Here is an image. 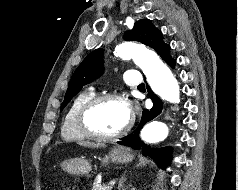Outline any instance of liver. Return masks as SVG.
Returning a JSON list of instances; mask_svg holds the SVG:
<instances>
[{
  "label": "liver",
  "mask_w": 238,
  "mask_h": 190,
  "mask_svg": "<svg viewBox=\"0 0 238 190\" xmlns=\"http://www.w3.org/2000/svg\"><path fill=\"white\" fill-rule=\"evenodd\" d=\"M81 145L87 146V147H100V145L93 144V143H82Z\"/></svg>",
  "instance_id": "obj_1"
}]
</instances>
